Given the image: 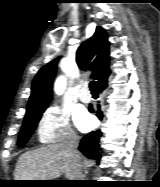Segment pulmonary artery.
<instances>
[{
  "instance_id": "1",
  "label": "pulmonary artery",
  "mask_w": 160,
  "mask_h": 187,
  "mask_svg": "<svg viewBox=\"0 0 160 187\" xmlns=\"http://www.w3.org/2000/svg\"><path fill=\"white\" fill-rule=\"evenodd\" d=\"M79 99L83 102V103H88L91 101V96L89 93L86 92V88L84 87L80 93H79Z\"/></svg>"
}]
</instances>
